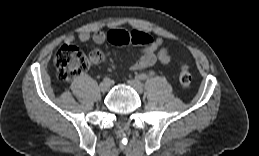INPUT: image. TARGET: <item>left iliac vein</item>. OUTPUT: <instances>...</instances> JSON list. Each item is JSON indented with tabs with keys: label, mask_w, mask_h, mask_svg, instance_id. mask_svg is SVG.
Here are the masks:
<instances>
[{
	"label": "left iliac vein",
	"mask_w": 259,
	"mask_h": 156,
	"mask_svg": "<svg viewBox=\"0 0 259 156\" xmlns=\"http://www.w3.org/2000/svg\"><path fill=\"white\" fill-rule=\"evenodd\" d=\"M128 85H130L134 90L138 93H142L144 90L143 84L137 79H131L128 81Z\"/></svg>",
	"instance_id": "1"
}]
</instances>
